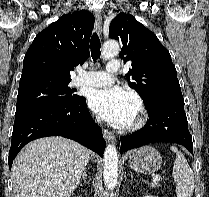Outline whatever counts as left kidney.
<instances>
[{
    "label": "left kidney",
    "mask_w": 209,
    "mask_h": 197,
    "mask_svg": "<svg viewBox=\"0 0 209 197\" xmlns=\"http://www.w3.org/2000/svg\"><path fill=\"white\" fill-rule=\"evenodd\" d=\"M143 197H156V196H148V195H147V196H143Z\"/></svg>",
    "instance_id": "1"
}]
</instances>
